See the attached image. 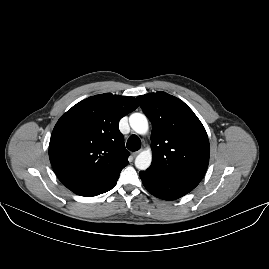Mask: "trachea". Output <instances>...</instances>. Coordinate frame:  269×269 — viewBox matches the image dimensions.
<instances>
[{
	"label": "trachea",
	"instance_id": "trachea-1",
	"mask_svg": "<svg viewBox=\"0 0 269 269\" xmlns=\"http://www.w3.org/2000/svg\"><path fill=\"white\" fill-rule=\"evenodd\" d=\"M128 150L130 151H137L141 147V141L137 135H131L126 144Z\"/></svg>",
	"mask_w": 269,
	"mask_h": 269
}]
</instances>
